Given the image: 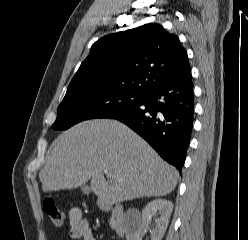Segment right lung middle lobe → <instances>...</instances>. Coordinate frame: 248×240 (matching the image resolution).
Wrapping results in <instances>:
<instances>
[{
	"label": "right lung middle lobe",
	"instance_id": "dd1d6c3e",
	"mask_svg": "<svg viewBox=\"0 0 248 240\" xmlns=\"http://www.w3.org/2000/svg\"><path fill=\"white\" fill-rule=\"evenodd\" d=\"M144 94L121 89L82 88L67 90L52 128L66 130L94 118H107L139 103Z\"/></svg>",
	"mask_w": 248,
	"mask_h": 240
}]
</instances>
